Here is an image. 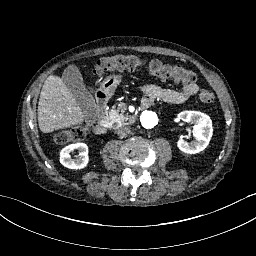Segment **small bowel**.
<instances>
[{"mask_svg": "<svg viewBox=\"0 0 256 256\" xmlns=\"http://www.w3.org/2000/svg\"><path fill=\"white\" fill-rule=\"evenodd\" d=\"M140 90L144 94V104L148 105L154 100H161L172 104H181L194 97L199 88L195 82L183 83L181 89H169L155 84H143Z\"/></svg>", "mask_w": 256, "mask_h": 256, "instance_id": "small-bowel-1", "label": "small bowel"}]
</instances>
